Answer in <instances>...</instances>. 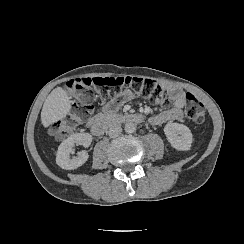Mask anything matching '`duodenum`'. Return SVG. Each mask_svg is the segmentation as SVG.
I'll return each mask as SVG.
<instances>
[{"label": "duodenum", "mask_w": 244, "mask_h": 244, "mask_svg": "<svg viewBox=\"0 0 244 244\" xmlns=\"http://www.w3.org/2000/svg\"><path fill=\"white\" fill-rule=\"evenodd\" d=\"M143 120V115L139 113H127L119 115L111 114L92 124L90 129L94 136L101 137L105 135L110 128L114 127L117 124L141 123L143 122Z\"/></svg>", "instance_id": "410a0bca"}]
</instances>
